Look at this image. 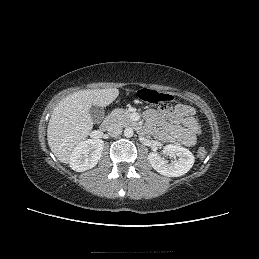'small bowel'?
Returning <instances> with one entry per match:
<instances>
[{
    "label": "small bowel",
    "mask_w": 259,
    "mask_h": 259,
    "mask_svg": "<svg viewBox=\"0 0 259 259\" xmlns=\"http://www.w3.org/2000/svg\"><path fill=\"white\" fill-rule=\"evenodd\" d=\"M195 110L187 105H177L174 109L162 107L148 109L144 112V118L156 136L164 142H178L184 146H193L196 143L193 125ZM199 124V123H198Z\"/></svg>",
    "instance_id": "c3829d8e"
}]
</instances>
